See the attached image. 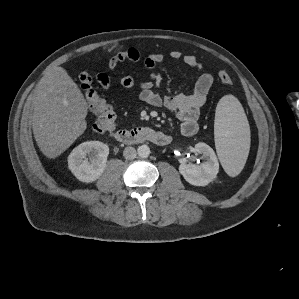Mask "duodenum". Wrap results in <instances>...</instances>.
<instances>
[{
	"instance_id": "obj_1",
	"label": "duodenum",
	"mask_w": 299,
	"mask_h": 299,
	"mask_svg": "<svg viewBox=\"0 0 299 299\" xmlns=\"http://www.w3.org/2000/svg\"><path fill=\"white\" fill-rule=\"evenodd\" d=\"M113 137L120 143L131 145L142 142H153L159 145L168 144V137L163 132L155 131L150 127H138L134 129H118Z\"/></svg>"
}]
</instances>
